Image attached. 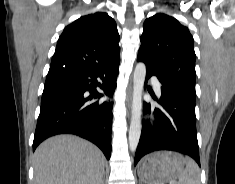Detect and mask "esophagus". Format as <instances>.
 I'll list each match as a JSON object with an SVG mask.
<instances>
[{
  "label": "esophagus",
  "mask_w": 235,
  "mask_h": 184,
  "mask_svg": "<svg viewBox=\"0 0 235 184\" xmlns=\"http://www.w3.org/2000/svg\"><path fill=\"white\" fill-rule=\"evenodd\" d=\"M131 93H132V84L130 83V86L128 88V104L131 103Z\"/></svg>",
  "instance_id": "1"
}]
</instances>
